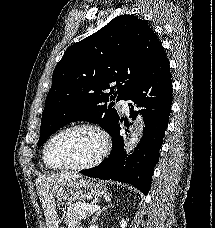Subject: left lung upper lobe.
Segmentation results:
<instances>
[{"mask_svg": "<svg viewBox=\"0 0 215 228\" xmlns=\"http://www.w3.org/2000/svg\"><path fill=\"white\" fill-rule=\"evenodd\" d=\"M162 49L147 22L133 15L118 16L70 46L53 72L38 146L78 120L99 124L111 135L120 117L107 102L126 100Z\"/></svg>", "mask_w": 215, "mask_h": 228, "instance_id": "obj_1", "label": "left lung upper lobe"}]
</instances>
